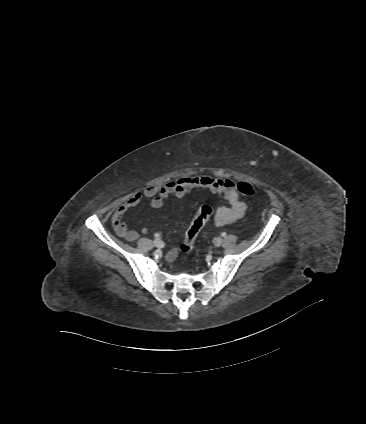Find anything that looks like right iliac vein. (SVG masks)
<instances>
[{"mask_svg": "<svg viewBox=\"0 0 366 424\" xmlns=\"http://www.w3.org/2000/svg\"><path fill=\"white\" fill-rule=\"evenodd\" d=\"M154 245H155L156 247H161V246H162V240H161L160 238H156V239L154 240Z\"/></svg>", "mask_w": 366, "mask_h": 424, "instance_id": "63e3f726", "label": "right iliac vein"}]
</instances>
